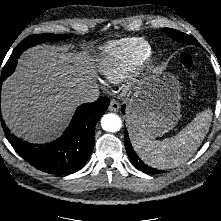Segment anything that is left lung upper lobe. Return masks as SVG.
Masks as SVG:
<instances>
[{
	"label": "left lung upper lobe",
	"mask_w": 221,
	"mask_h": 221,
	"mask_svg": "<svg viewBox=\"0 0 221 221\" xmlns=\"http://www.w3.org/2000/svg\"><path fill=\"white\" fill-rule=\"evenodd\" d=\"M164 32L178 42L192 43L199 46L198 42L194 38L180 31L171 28H164Z\"/></svg>",
	"instance_id": "1"
}]
</instances>
